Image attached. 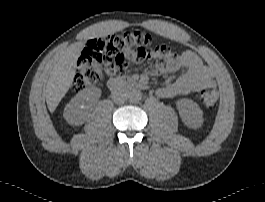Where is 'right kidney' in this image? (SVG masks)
I'll use <instances>...</instances> for the list:
<instances>
[{"label":"right kidney","mask_w":265,"mask_h":202,"mask_svg":"<svg viewBox=\"0 0 265 202\" xmlns=\"http://www.w3.org/2000/svg\"><path fill=\"white\" fill-rule=\"evenodd\" d=\"M101 96V90L91 87L80 91L74 96L64 109V118L71 125H82L86 118L88 110L98 101Z\"/></svg>","instance_id":"obj_1"}]
</instances>
